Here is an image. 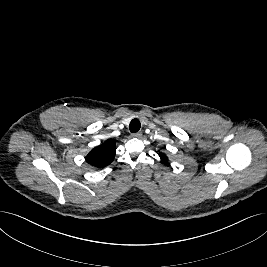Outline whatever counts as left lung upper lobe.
<instances>
[{
  "mask_svg": "<svg viewBox=\"0 0 267 267\" xmlns=\"http://www.w3.org/2000/svg\"><path fill=\"white\" fill-rule=\"evenodd\" d=\"M160 158H161V162H162V163H164V164H166V163H167V161H168V158L166 157V155H165V154H160Z\"/></svg>",
  "mask_w": 267,
  "mask_h": 267,
  "instance_id": "obj_1",
  "label": "left lung upper lobe"
}]
</instances>
